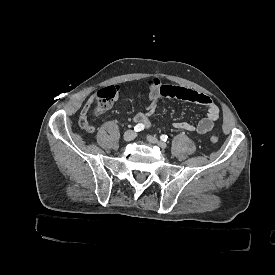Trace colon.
<instances>
[{"label": "colon", "mask_w": 275, "mask_h": 275, "mask_svg": "<svg viewBox=\"0 0 275 275\" xmlns=\"http://www.w3.org/2000/svg\"><path fill=\"white\" fill-rule=\"evenodd\" d=\"M106 107H107L106 105H99L98 109L103 110ZM79 125L81 126L82 129H84L86 131H91L93 129V127L89 124V122L86 119V112H83V114L81 115V117L79 119ZM210 141H211V143H217L218 142V136L217 135H212L210 137Z\"/></svg>", "instance_id": "1"}]
</instances>
